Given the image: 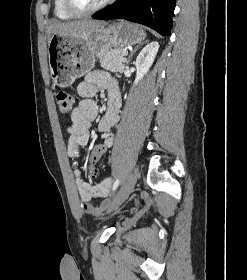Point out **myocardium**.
I'll return each instance as SVG.
<instances>
[{"label": "myocardium", "instance_id": "f54148a6", "mask_svg": "<svg viewBox=\"0 0 247 280\" xmlns=\"http://www.w3.org/2000/svg\"><path fill=\"white\" fill-rule=\"evenodd\" d=\"M114 0H103L100 4L92 7V8H80L78 7L74 0H64L65 8L67 11L74 16H84V15H90L93 14L99 10H102L103 8L107 7L109 4H111Z\"/></svg>", "mask_w": 247, "mask_h": 280}]
</instances>
